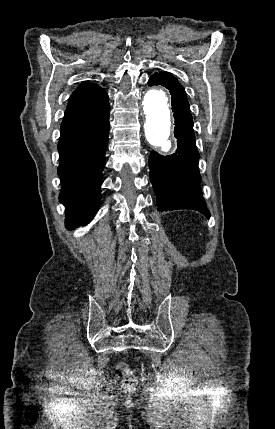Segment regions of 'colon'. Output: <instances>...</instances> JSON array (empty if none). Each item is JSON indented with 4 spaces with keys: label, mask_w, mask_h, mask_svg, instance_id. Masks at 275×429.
Masks as SVG:
<instances>
[{
    "label": "colon",
    "mask_w": 275,
    "mask_h": 429,
    "mask_svg": "<svg viewBox=\"0 0 275 429\" xmlns=\"http://www.w3.org/2000/svg\"><path fill=\"white\" fill-rule=\"evenodd\" d=\"M118 369L121 371V373L123 375V387H124V389L132 390L134 388V385H135L133 370L124 364H119Z\"/></svg>",
    "instance_id": "5ec220e1"
}]
</instances>
